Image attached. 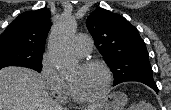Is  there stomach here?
<instances>
[{"label":"stomach","mask_w":171,"mask_h":110,"mask_svg":"<svg viewBox=\"0 0 171 110\" xmlns=\"http://www.w3.org/2000/svg\"><path fill=\"white\" fill-rule=\"evenodd\" d=\"M127 103V96L121 92H113L97 108L93 110H124Z\"/></svg>","instance_id":"obj_1"}]
</instances>
